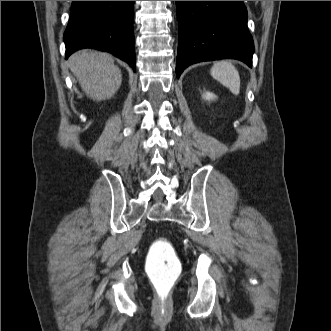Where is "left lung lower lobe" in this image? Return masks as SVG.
<instances>
[{"mask_svg":"<svg viewBox=\"0 0 331 331\" xmlns=\"http://www.w3.org/2000/svg\"><path fill=\"white\" fill-rule=\"evenodd\" d=\"M176 75L189 65L234 58L252 67L254 43L243 1H176Z\"/></svg>","mask_w":331,"mask_h":331,"instance_id":"0a47b994","label":"left lung lower lobe"}]
</instances>
